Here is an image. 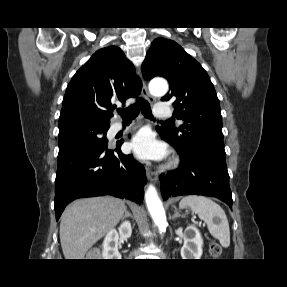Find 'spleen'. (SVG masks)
<instances>
[{"instance_id":"obj_1","label":"spleen","mask_w":287,"mask_h":287,"mask_svg":"<svg viewBox=\"0 0 287 287\" xmlns=\"http://www.w3.org/2000/svg\"><path fill=\"white\" fill-rule=\"evenodd\" d=\"M180 208L189 207L197 213L208 226L210 234L227 248L230 245V229L224 210L213 200L205 196L189 195L182 198ZM219 222H217V221Z\"/></svg>"}]
</instances>
